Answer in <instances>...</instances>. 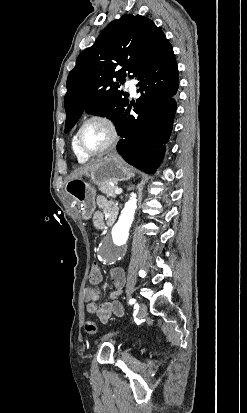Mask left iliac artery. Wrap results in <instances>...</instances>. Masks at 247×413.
<instances>
[{"label": "left iliac artery", "instance_id": "left-iliac-artery-1", "mask_svg": "<svg viewBox=\"0 0 247 413\" xmlns=\"http://www.w3.org/2000/svg\"><path fill=\"white\" fill-rule=\"evenodd\" d=\"M135 303H136V300H135V299H130V300H129V304H130V305H133V304H135Z\"/></svg>", "mask_w": 247, "mask_h": 413}]
</instances>
